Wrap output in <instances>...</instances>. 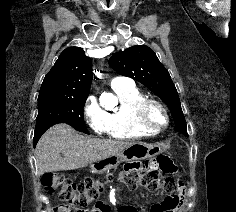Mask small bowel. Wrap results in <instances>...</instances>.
<instances>
[{"label":"small bowel","mask_w":236,"mask_h":212,"mask_svg":"<svg viewBox=\"0 0 236 212\" xmlns=\"http://www.w3.org/2000/svg\"><path fill=\"white\" fill-rule=\"evenodd\" d=\"M172 174V171H167ZM126 190H137V185H126ZM180 195H171L163 198L152 206L151 212H180L182 201ZM95 203L98 205H90L89 209H83V212H135L131 209H125V205H105L109 204V199H96Z\"/></svg>","instance_id":"small-bowel-1"}]
</instances>
